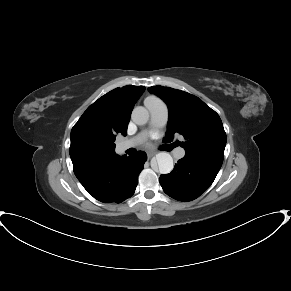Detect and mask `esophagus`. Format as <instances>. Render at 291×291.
Instances as JSON below:
<instances>
[{
  "mask_svg": "<svg viewBox=\"0 0 291 291\" xmlns=\"http://www.w3.org/2000/svg\"><path fill=\"white\" fill-rule=\"evenodd\" d=\"M156 155V152L150 151L147 153L148 158H151Z\"/></svg>",
  "mask_w": 291,
  "mask_h": 291,
  "instance_id": "1",
  "label": "esophagus"
}]
</instances>
